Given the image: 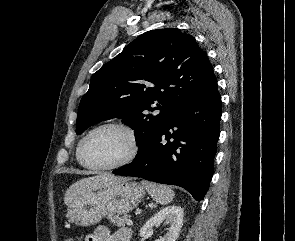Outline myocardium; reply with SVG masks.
Wrapping results in <instances>:
<instances>
[{"mask_svg": "<svg viewBox=\"0 0 295 241\" xmlns=\"http://www.w3.org/2000/svg\"><path fill=\"white\" fill-rule=\"evenodd\" d=\"M105 128H117V129L124 131L130 140V146H131L130 152L123 160H121L115 164L105 165V166L90 164L85 159L86 144H87L88 140L90 139V137L95 132L105 129ZM139 151H140V142H139V138H138L136 131L128 124H125L122 122H117V121H111V122L102 123V124L94 127L83 137V139L81 140L79 149H78V160L82 166H84L85 168L90 169V170L112 171V170L122 168V167L130 164L131 162H133L135 160V158L137 157Z\"/></svg>", "mask_w": 295, "mask_h": 241, "instance_id": "1", "label": "myocardium"}]
</instances>
